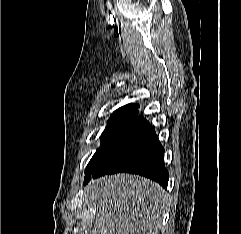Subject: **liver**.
Listing matches in <instances>:
<instances>
[{
  "label": "liver",
  "mask_w": 241,
  "mask_h": 234,
  "mask_svg": "<svg viewBox=\"0 0 241 234\" xmlns=\"http://www.w3.org/2000/svg\"><path fill=\"white\" fill-rule=\"evenodd\" d=\"M84 199L95 212L91 234H158L168 194L144 177L117 174L91 180Z\"/></svg>",
  "instance_id": "obj_1"
}]
</instances>
